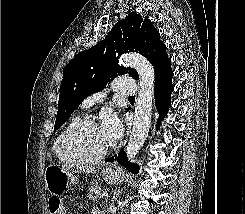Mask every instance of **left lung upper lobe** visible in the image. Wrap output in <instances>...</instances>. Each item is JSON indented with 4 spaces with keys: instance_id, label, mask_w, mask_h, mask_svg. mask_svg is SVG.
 Returning a JSON list of instances; mask_svg holds the SVG:
<instances>
[{
    "instance_id": "obj_1",
    "label": "left lung upper lobe",
    "mask_w": 245,
    "mask_h": 214,
    "mask_svg": "<svg viewBox=\"0 0 245 214\" xmlns=\"http://www.w3.org/2000/svg\"><path fill=\"white\" fill-rule=\"evenodd\" d=\"M134 51L154 66L155 79L170 66L166 46L153 23L131 12L114 25L104 40L78 53L65 66L54 130L64 124L86 97L102 90L110 79L127 73L137 80L136 70L119 66L117 60L121 54Z\"/></svg>"
}]
</instances>
